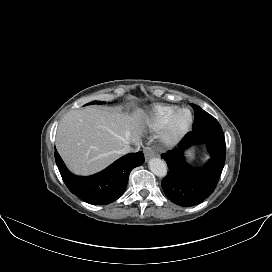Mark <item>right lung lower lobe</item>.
<instances>
[{"mask_svg": "<svg viewBox=\"0 0 272 272\" xmlns=\"http://www.w3.org/2000/svg\"><path fill=\"white\" fill-rule=\"evenodd\" d=\"M55 161L64 183L73 194L87 203L105 205L124 193L130 171L144 163V154L142 151L127 154L103 171L87 177L70 173L57 151Z\"/></svg>", "mask_w": 272, "mask_h": 272, "instance_id": "obj_1", "label": "right lung lower lobe"}]
</instances>
